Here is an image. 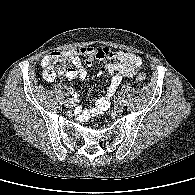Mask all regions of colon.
<instances>
[{"mask_svg": "<svg viewBox=\"0 0 195 195\" xmlns=\"http://www.w3.org/2000/svg\"><path fill=\"white\" fill-rule=\"evenodd\" d=\"M68 59L62 52H52L42 60L44 75L47 79L52 80L56 76L66 72ZM146 79L143 73L136 76L138 82H143Z\"/></svg>", "mask_w": 195, "mask_h": 195, "instance_id": "obj_1", "label": "colon"}]
</instances>
